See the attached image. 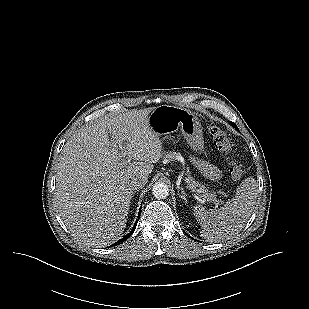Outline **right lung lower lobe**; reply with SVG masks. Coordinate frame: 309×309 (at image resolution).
Returning a JSON list of instances; mask_svg holds the SVG:
<instances>
[{
	"instance_id": "obj_1",
	"label": "right lung lower lobe",
	"mask_w": 309,
	"mask_h": 309,
	"mask_svg": "<svg viewBox=\"0 0 309 309\" xmlns=\"http://www.w3.org/2000/svg\"><path fill=\"white\" fill-rule=\"evenodd\" d=\"M140 213V211H139ZM139 217H140V214L138 216V219L136 220L134 226H133V229L130 231V233H128L127 235H125L122 239H120L119 241H117L114 245H119V244H122L126 239H128L130 237V235L133 233V231L135 230L136 228V225H137V222L139 220Z\"/></svg>"
}]
</instances>
